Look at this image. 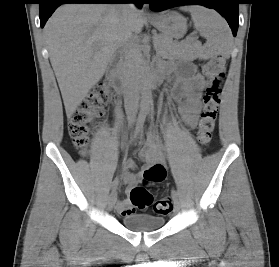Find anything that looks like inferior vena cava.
Wrapping results in <instances>:
<instances>
[{
	"label": "inferior vena cava",
	"instance_id": "inferior-vena-cava-1",
	"mask_svg": "<svg viewBox=\"0 0 279 267\" xmlns=\"http://www.w3.org/2000/svg\"><path fill=\"white\" fill-rule=\"evenodd\" d=\"M118 7L123 16V27H124L121 47L123 48L125 58H127L129 40L131 39L133 34L132 31L129 30L127 27L130 25L131 16L137 11V9L133 3H123L118 5Z\"/></svg>",
	"mask_w": 279,
	"mask_h": 267
}]
</instances>
